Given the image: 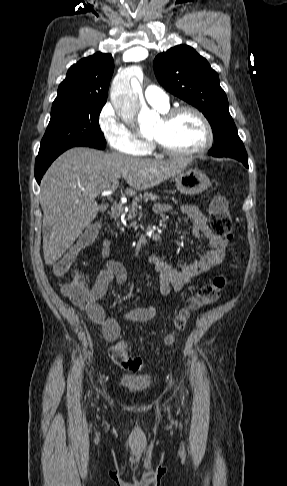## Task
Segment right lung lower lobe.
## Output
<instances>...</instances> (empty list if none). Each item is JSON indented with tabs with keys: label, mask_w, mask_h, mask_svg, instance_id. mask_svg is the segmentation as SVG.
Instances as JSON below:
<instances>
[{
	"label": "right lung lower lobe",
	"mask_w": 287,
	"mask_h": 486,
	"mask_svg": "<svg viewBox=\"0 0 287 486\" xmlns=\"http://www.w3.org/2000/svg\"><path fill=\"white\" fill-rule=\"evenodd\" d=\"M66 149L53 152V153H48V154H43V155H38L36 158L35 162V178L38 183H40L41 178L43 174L46 172L47 168L50 166V164Z\"/></svg>",
	"instance_id": "obj_1"
}]
</instances>
